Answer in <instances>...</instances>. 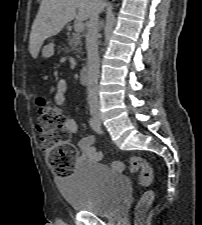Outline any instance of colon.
Segmentation results:
<instances>
[{"instance_id": "obj_1", "label": "colon", "mask_w": 202, "mask_h": 225, "mask_svg": "<svg viewBox=\"0 0 202 225\" xmlns=\"http://www.w3.org/2000/svg\"><path fill=\"white\" fill-rule=\"evenodd\" d=\"M41 99H44L41 97ZM36 128L40 134V142L48 166L56 176L65 177L72 173L78 158V147L70 142V133L64 127V119L54 107L41 106L38 112ZM118 169L122 165L113 162ZM129 172L138 175L140 185L148 187L154 181L151 165L142 157L134 156L129 160ZM155 193L145 191L137 203V212H145L153 203Z\"/></svg>"}]
</instances>
